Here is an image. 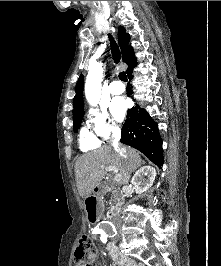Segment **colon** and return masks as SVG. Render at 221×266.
<instances>
[{"mask_svg":"<svg viewBox=\"0 0 221 266\" xmlns=\"http://www.w3.org/2000/svg\"><path fill=\"white\" fill-rule=\"evenodd\" d=\"M96 258V249L89 236H82L76 249L78 266H90Z\"/></svg>","mask_w":221,"mask_h":266,"instance_id":"5ec220e1","label":"colon"}]
</instances>
